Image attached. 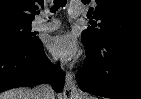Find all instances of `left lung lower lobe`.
Here are the masks:
<instances>
[{"mask_svg":"<svg viewBox=\"0 0 141 99\" xmlns=\"http://www.w3.org/2000/svg\"><path fill=\"white\" fill-rule=\"evenodd\" d=\"M82 91L112 99H141V40L112 39L98 47L84 41Z\"/></svg>","mask_w":141,"mask_h":99,"instance_id":"obj_1","label":"left lung lower lobe"}]
</instances>
